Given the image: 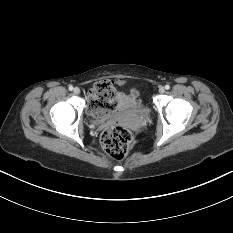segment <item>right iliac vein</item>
<instances>
[{"label": "right iliac vein", "instance_id": "right-iliac-vein-1", "mask_svg": "<svg viewBox=\"0 0 233 233\" xmlns=\"http://www.w3.org/2000/svg\"><path fill=\"white\" fill-rule=\"evenodd\" d=\"M73 92H74V94L78 95V94H80V89L78 87H75Z\"/></svg>", "mask_w": 233, "mask_h": 233}]
</instances>
